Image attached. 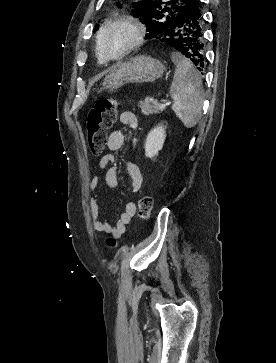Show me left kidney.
I'll return each mask as SVG.
<instances>
[{
    "mask_svg": "<svg viewBox=\"0 0 276 363\" xmlns=\"http://www.w3.org/2000/svg\"><path fill=\"white\" fill-rule=\"evenodd\" d=\"M166 138L165 127L161 124L152 129L145 141V155L148 158H154L163 148Z\"/></svg>",
    "mask_w": 276,
    "mask_h": 363,
    "instance_id": "5707ae66",
    "label": "left kidney"
}]
</instances>
